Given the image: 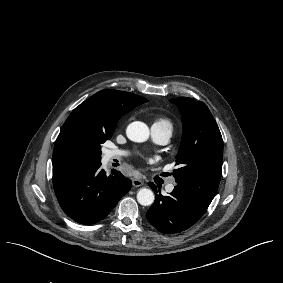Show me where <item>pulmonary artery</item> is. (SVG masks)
I'll list each match as a JSON object with an SVG mask.
<instances>
[{"label":"pulmonary artery","mask_w":283,"mask_h":283,"mask_svg":"<svg viewBox=\"0 0 283 283\" xmlns=\"http://www.w3.org/2000/svg\"><path fill=\"white\" fill-rule=\"evenodd\" d=\"M151 133L154 141L158 144L164 145L169 142L171 134L170 132L166 130L159 129L155 126L151 127ZM126 153L124 151H117V150H110L107 153V158L109 160H113L119 157L124 156ZM176 187V181L174 178H170L165 186V190L168 193H171L174 191Z\"/></svg>","instance_id":"obj_1"}]
</instances>
